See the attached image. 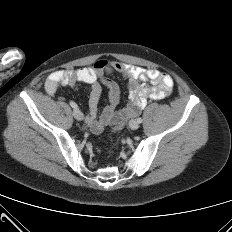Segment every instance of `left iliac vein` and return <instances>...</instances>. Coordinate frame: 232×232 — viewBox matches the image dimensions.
<instances>
[{"instance_id": "1", "label": "left iliac vein", "mask_w": 232, "mask_h": 232, "mask_svg": "<svg viewBox=\"0 0 232 232\" xmlns=\"http://www.w3.org/2000/svg\"><path fill=\"white\" fill-rule=\"evenodd\" d=\"M129 126L131 129L136 130L139 127V123L136 120H131Z\"/></svg>"}]
</instances>
